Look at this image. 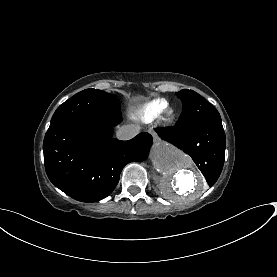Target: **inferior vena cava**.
Returning a JSON list of instances; mask_svg holds the SVG:
<instances>
[{
  "instance_id": "obj_1",
  "label": "inferior vena cava",
  "mask_w": 277,
  "mask_h": 277,
  "mask_svg": "<svg viewBox=\"0 0 277 277\" xmlns=\"http://www.w3.org/2000/svg\"><path fill=\"white\" fill-rule=\"evenodd\" d=\"M140 132L138 125H123L117 130V138L119 140H130L137 136Z\"/></svg>"
}]
</instances>
